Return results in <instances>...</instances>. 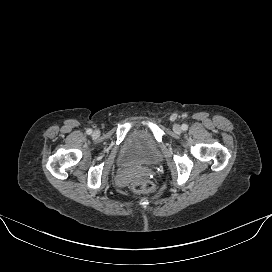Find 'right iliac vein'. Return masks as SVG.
Wrapping results in <instances>:
<instances>
[{"instance_id":"obj_1","label":"right iliac vein","mask_w":272,"mask_h":272,"mask_svg":"<svg viewBox=\"0 0 272 272\" xmlns=\"http://www.w3.org/2000/svg\"><path fill=\"white\" fill-rule=\"evenodd\" d=\"M94 136H99L100 132L98 130L94 131Z\"/></svg>"}]
</instances>
